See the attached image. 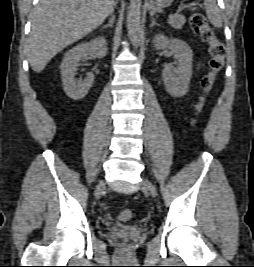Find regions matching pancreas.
Masks as SVG:
<instances>
[{"mask_svg": "<svg viewBox=\"0 0 254 267\" xmlns=\"http://www.w3.org/2000/svg\"><path fill=\"white\" fill-rule=\"evenodd\" d=\"M185 22L186 19L182 15H175L172 19H169V24L175 29H181Z\"/></svg>", "mask_w": 254, "mask_h": 267, "instance_id": "obj_1", "label": "pancreas"}]
</instances>
